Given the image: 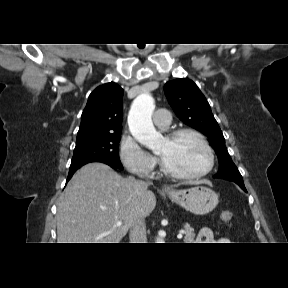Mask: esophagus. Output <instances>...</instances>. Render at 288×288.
Wrapping results in <instances>:
<instances>
[{
    "label": "esophagus",
    "mask_w": 288,
    "mask_h": 288,
    "mask_svg": "<svg viewBox=\"0 0 288 288\" xmlns=\"http://www.w3.org/2000/svg\"><path fill=\"white\" fill-rule=\"evenodd\" d=\"M163 190L165 192H171L172 191V189L170 187H166V186L163 188Z\"/></svg>",
    "instance_id": "esophagus-1"
}]
</instances>
